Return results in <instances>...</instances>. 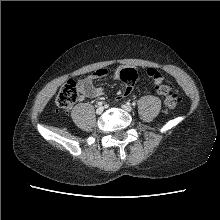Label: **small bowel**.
Listing matches in <instances>:
<instances>
[{"instance_id":"small-bowel-1","label":"small bowel","mask_w":220,"mask_h":220,"mask_svg":"<svg viewBox=\"0 0 220 220\" xmlns=\"http://www.w3.org/2000/svg\"><path fill=\"white\" fill-rule=\"evenodd\" d=\"M107 70L104 68L96 69L90 76L85 79H82L78 82L79 90L83 97L86 98H95L101 96L103 94V89L100 87H96L94 85V81L106 76ZM114 79L120 78V69H117L113 73ZM154 84L158 86L160 82L154 80ZM129 94H123L122 97H127Z\"/></svg>"}]
</instances>
